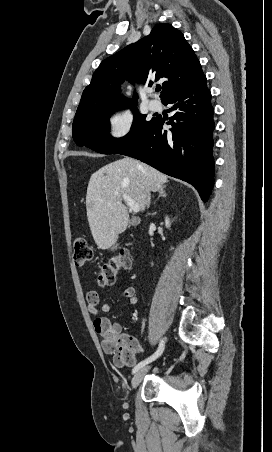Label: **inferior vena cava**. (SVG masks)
Instances as JSON below:
<instances>
[{"label":"inferior vena cava","mask_w":272,"mask_h":452,"mask_svg":"<svg viewBox=\"0 0 272 452\" xmlns=\"http://www.w3.org/2000/svg\"><path fill=\"white\" fill-rule=\"evenodd\" d=\"M146 205H147V207H149V205H150V192L149 191L147 192V195H146Z\"/></svg>","instance_id":"1"}]
</instances>
